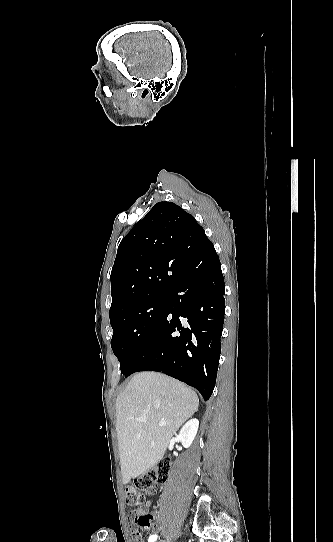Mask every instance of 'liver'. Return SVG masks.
<instances>
[{
    "label": "liver",
    "instance_id": "liver-1",
    "mask_svg": "<svg viewBox=\"0 0 333 542\" xmlns=\"http://www.w3.org/2000/svg\"><path fill=\"white\" fill-rule=\"evenodd\" d=\"M196 392L156 372L135 374L116 400L122 482L129 484L162 460L180 426L198 410ZM146 418L147 422H138ZM166 422V426H158Z\"/></svg>",
    "mask_w": 333,
    "mask_h": 542
}]
</instances>
